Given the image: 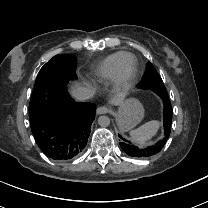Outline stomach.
Wrapping results in <instances>:
<instances>
[{
    "instance_id": "stomach-1",
    "label": "stomach",
    "mask_w": 208,
    "mask_h": 208,
    "mask_svg": "<svg viewBox=\"0 0 208 208\" xmlns=\"http://www.w3.org/2000/svg\"><path fill=\"white\" fill-rule=\"evenodd\" d=\"M121 131H128L135 127L144 117V108L136 98L123 101L114 113Z\"/></svg>"
}]
</instances>
